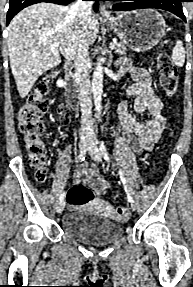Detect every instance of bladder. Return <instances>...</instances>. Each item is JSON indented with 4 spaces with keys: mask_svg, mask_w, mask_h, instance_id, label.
<instances>
[{
    "mask_svg": "<svg viewBox=\"0 0 193 287\" xmlns=\"http://www.w3.org/2000/svg\"><path fill=\"white\" fill-rule=\"evenodd\" d=\"M62 231L90 246L110 244L123 235L122 227L116 222L83 210L66 213L62 219Z\"/></svg>",
    "mask_w": 193,
    "mask_h": 287,
    "instance_id": "obj_1",
    "label": "bladder"
}]
</instances>
